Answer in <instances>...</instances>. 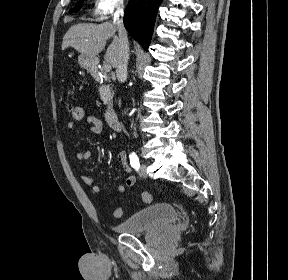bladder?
Returning a JSON list of instances; mask_svg holds the SVG:
<instances>
[{"instance_id": "obj_1", "label": "bladder", "mask_w": 288, "mask_h": 280, "mask_svg": "<svg viewBox=\"0 0 288 280\" xmlns=\"http://www.w3.org/2000/svg\"><path fill=\"white\" fill-rule=\"evenodd\" d=\"M179 219L178 210L169 203L151 205L115 226L120 233L137 234L169 227Z\"/></svg>"}]
</instances>
